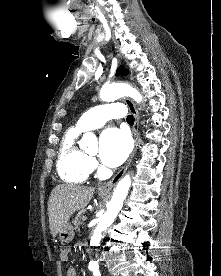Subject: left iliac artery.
I'll return each instance as SVG.
<instances>
[{
    "instance_id": "left-iliac-artery-1",
    "label": "left iliac artery",
    "mask_w": 221,
    "mask_h": 276,
    "mask_svg": "<svg viewBox=\"0 0 221 276\" xmlns=\"http://www.w3.org/2000/svg\"><path fill=\"white\" fill-rule=\"evenodd\" d=\"M92 270H93V275H94V276H101V274H100L98 268H95V269H92Z\"/></svg>"
}]
</instances>
